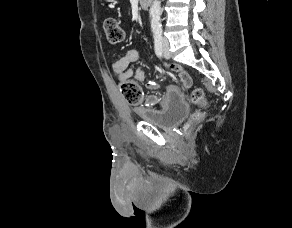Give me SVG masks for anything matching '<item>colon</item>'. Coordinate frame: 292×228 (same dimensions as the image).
Returning a JSON list of instances; mask_svg holds the SVG:
<instances>
[{
    "instance_id": "obj_1",
    "label": "colon",
    "mask_w": 292,
    "mask_h": 228,
    "mask_svg": "<svg viewBox=\"0 0 292 228\" xmlns=\"http://www.w3.org/2000/svg\"><path fill=\"white\" fill-rule=\"evenodd\" d=\"M104 34L106 39L111 44H118L123 41L125 33L120 22L114 17H108L103 24ZM120 92L124 99L131 105H138L142 100V91L139 85L132 79L120 81ZM190 98L193 103L204 105L205 95L201 88H194L190 93ZM201 111L195 112L190 119L189 124L198 122L202 119Z\"/></svg>"
}]
</instances>
